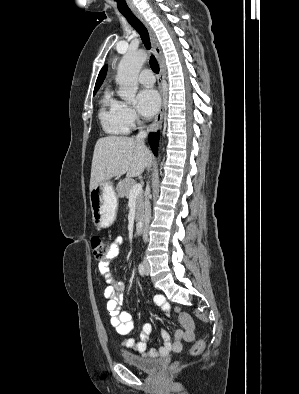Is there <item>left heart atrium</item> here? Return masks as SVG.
Wrapping results in <instances>:
<instances>
[{
	"label": "left heart atrium",
	"instance_id": "39dd6f15",
	"mask_svg": "<svg viewBox=\"0 0 299 394\" xmlns=\"http://www.w3.org/2000/svg\"><path fill=\"white\" fill-rule=\"evenodd\" d=\"M160 98L153 88H144L137 94L136 107L144 117H152L159 109Z\"/></svg>",
	"mask_w": 299,
	"mask_h": 394
}]
</instances>
